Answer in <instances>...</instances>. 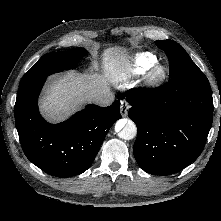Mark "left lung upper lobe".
<instances>
[{
	"instance_id": "left-lung-upper-lobe-1",
	"label": "left lung upper lobe",
	"mask_w": 221,
	"mask_h": 221,
	"mask_svg": "<svg viewBox=\"0 0 221 221\" xmlns=\"http://www.w3.org/2000/svg\"><path fill=\"white\" fill-rule=\"evenodd\" d=\"M155 44L164 50L169 59L170 78L188 74H202L187 52L176 42L172 40H158Z\"/></svg>"
}]
</instances>
